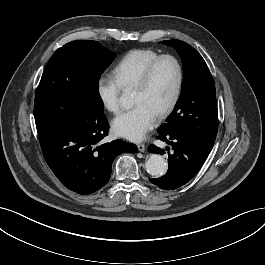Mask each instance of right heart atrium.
<instances>
[{
    "label": "right heart atrium",
    "mask_w": 265,
    "mask_h": 265,
    "mask_svg": "<svg viewBox=\"0 0 265 265\" xmlns=\"http://www.w3.org/2000/svg\"><path fill=\"white\" fill-rule=\"evenodd\" d=\"M96 93L101 105L112 113L120 109L121 87L114 76L101 75L96 83Z\"/></svg>",
    "instance_id": "d8ad5b80"
}]
</instances>
